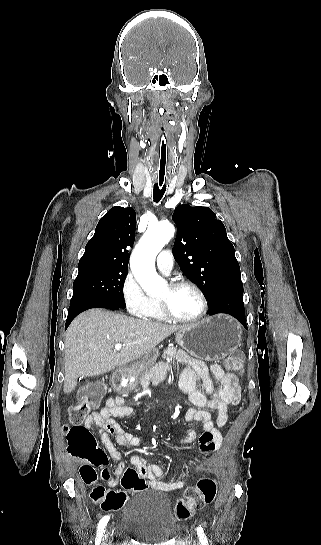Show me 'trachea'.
Wrapping results in <instances>:
<instances>
[{"mask_svg": "<svg viewBox=\"0 0 321 545\" xmlns=\"http://www.w3.org/2000/svg\"><path fill=\"white\" fill-rule=\"evenodd\" d=\"M161 144H160V152L158 153V163L156 168V173L153 177L152 187H153V198L155 202H158L162 196L165 193L166 190V177L165 174L167 173V166L169 162V153L167 152V144L164 140H166V133L163 131L161 133Z\"/></svg>", "mask_w": 321, "mask_h": 545, "instance_id": "trachea-1", "label": "trachea"}]
</instances>
